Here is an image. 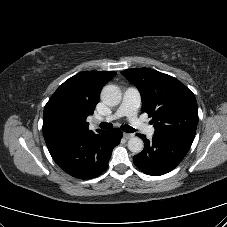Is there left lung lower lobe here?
<instances>
[{"mask_svg": "<svg viewBox=\"0 0 227 227\" xmlns=\"http://www.w3.org/2000/svg\"><path fill=\"white\" fill-rule=\"evenodd\" d=\"M145 143L143 151L133 157L134 164L152 176L173 170L185 157L193 141L180 136L156 133L149 141L145 135L137 134Z\"/></svg>", "mask_w": 227, "mask_h": 227, "instance_id": "0a47b994", "label": "left lung lower lobe"}]
</instances>
